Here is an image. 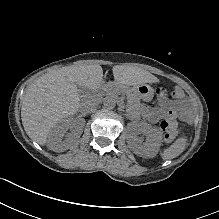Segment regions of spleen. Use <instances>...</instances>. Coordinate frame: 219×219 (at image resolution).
<instances>
[{
	"mask_svg": "<svg viewBox=\"0 0 219 219\" xmlns=\"http://www.w3.org/2000/svg\"><path fill=\"white\" fill-rule=\"evenodd\" d=\"M185 149V140L184 139H179L177 142H175L170 148H168L162 157L164 159H171L179 154H181Z\"/></svg>",
	"mask_w": 219,
	"mask_h": 219,
	"instance_id": "obj_1",
	"label": "spleen"
}]
</instances>
